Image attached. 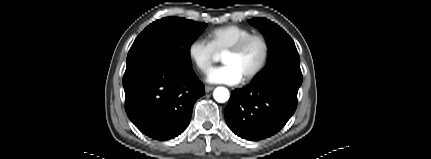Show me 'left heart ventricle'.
Wrapping results in <instances>:
<instances>
[{
    "label": "left heart ventricle",
    "instance_id": "left-heart-ventricle-1",
    "mask_svg": "<svg viewBox=\"0 0 431 159\" xmlns=\"http://www.w3.org/2000/svg\"><path fill=\"white\" fill-rule=\"evenodd\" d=\"M262 53L263 48L261 43L259 41H254L241 54H224L222 61L224 64L234 66L241 74L242 78H244L258 66Z\"/></svg>",
    "mask_w": 431,
    "mask_h": 159
}]
</instances>
